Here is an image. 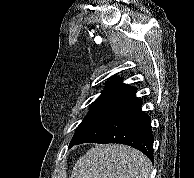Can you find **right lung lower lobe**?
<instances>
[{
	"label": "right lung lower lobe",
	"instance_id": "right-lung-lower-lobe-1",
	"mask_svg": "<svg viewBox=\"0 0 194 178\" xmlns=\"http://www.w3.org/2000/svg\"><path fill=\"white\" fill-rule=\"evenodd\" d=\"M150 117L141 110V100L124 104L70 147L81 143H120L132 146L153 159Z\"/></svg>",
	"mask_w": 194,
	"mask_h": 178
}]
</instances>
